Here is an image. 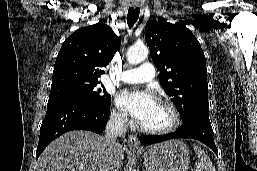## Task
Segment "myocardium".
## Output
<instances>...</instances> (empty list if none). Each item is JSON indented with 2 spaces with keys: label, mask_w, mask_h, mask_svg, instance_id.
I'll return each instance as SVG.
<instances>
[{
  "label": "myocardium",
  "mask_w": 257,
  "mask_h": 171,
  "mask_svg": "<svg viewBox=\"0 0 257 171\" xmlns=\"http://www.w3.org/2000/svg\"><path fill=\"white\" fill-rule=\"evenodd\" d=\"M157 103L165 106L171 113L172 115V121L169 125L162 127V128H151L143 125L142 123L139 124L140 129L143 132L149 133V134H155V135H164V134H169L173 131H175L180 123H181V114L176 107V105L169 99L167 98H159L157 100Z\"/></svg>",
  "instance_id": "obj_1"
}]
</instances>
